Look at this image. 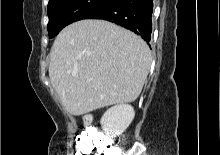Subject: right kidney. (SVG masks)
Segmentation results:
<instances>
[{
  "instance_id": "obj_1",
  "label": "right kidney",
  "mask_w": 220,
  "mask_h": 155,
  "mask_svg": "<svg viewBox=\"0 0 220 155\" xmlns=\"http://www.w3.org/2000/svg\"><path fill=\"white\" fill-rule=\"evenodd\" d=\"M135 116L131 105L120 104L108 109L101 118L103 132L109 136L121 135L131 124Z\"/></svg>"
}]
</instances>
